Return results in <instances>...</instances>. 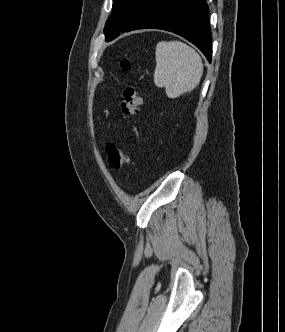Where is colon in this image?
<instances>
[{
  "label": "colon",
  "mask_w": 285,
  "mask_h": 332,
  "mask_svg": "<svg viewBox=\"0 0 285 332\" xmlns=\"http://www.w3.org/2000/svg\"><path fill=\"white\" fill-rule=\"evenodd\" d=\"M121 67L125 71H130L132 65L128 59H123L121 61ZM141 105L142 97L138 88L135 85L126 87L120 101L123 117L127 120L133 119L138 114ZM105 152L108 163L114 170L125 167L130 161L129 156L114 144H107Z\"/></svg>",
  "instance_id": "1"
}]
</instances>
